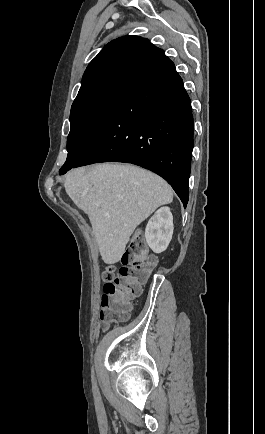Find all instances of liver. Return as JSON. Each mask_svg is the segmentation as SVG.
<instances>
[{"label":"liver","instance_id":"1","mask_svg":"<svg viewBox=\"0 0 265 434\" xmlns=\"http://www.w3.org/2000/svg\"><path fill=\"white\" fill-rule=\"evenodd\" d=\"M64 188L77 208L88 214L105 264L120 262L135 228L159 206L173 200L165 180L147 170L121 164L71 170L66 174Z\"/></svg>","mask_w":265,"mask_h":434}]
</instances>
